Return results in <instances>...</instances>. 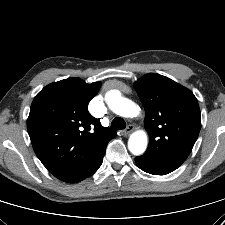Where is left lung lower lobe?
<instances>
[{
	"label": "left lung lower lobe",
	"mask_w": 225,
	"mask_h": 225,
	"mask_svg": "<svg viewBox=\"0 0 225 225\" xmlns=\"http://www.w3.org/2000/svg\"><path fill=\"white\" fill-rule=\"evenodd\" d=\"M135 162L140 169L153 175H165L178 168V166L162 161L146 153L136 157Z\"/></svg>",
	"instance_id": "0a47b994"
}]
</instances>
